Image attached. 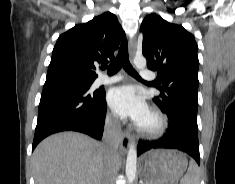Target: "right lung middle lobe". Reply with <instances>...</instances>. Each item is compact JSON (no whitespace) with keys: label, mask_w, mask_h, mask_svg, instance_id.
Listing matches in <instances>:
<instances>
[{"label":"right lung middle lobe","mask_w":235,"mask_h":184,"mask_svg":"<svg viewBox=\"0 0 235 184\" xmlns=\"http://www.w3.org/2000/svg\"><path fill=\"white\" fill-rule=\"evenodd\" d=\"M64 80L69 84H79L86 89H89L91 84L94 82V80L80 79V78H74V77L64 78Z\"/></svg>","instance_id":"obj_1"}]
</instances>
